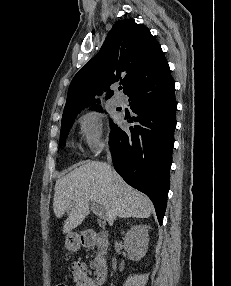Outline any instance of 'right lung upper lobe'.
I'll return each mask as SVG.
<instances>
[{"instance_id": "obj_1", "label": "right lung upper lobe", "mask_w": 231, "mask_h": 286, "mask_svg": "<svg viewBox=\"0 0 231 286\" xmlns=\"http://www.w3.org/2000/svg\"><path fill=\"white\" fill-rule=\"evenodd\" d=\"M167 72L169 65L150 31L134 19L120 20L108 33L100 52L74 76L63 116L95 104L102 84L109 98L113 91L108 87L116 81L120 80L125 93L135 82Z\"/></svg>"}]
</instances>
